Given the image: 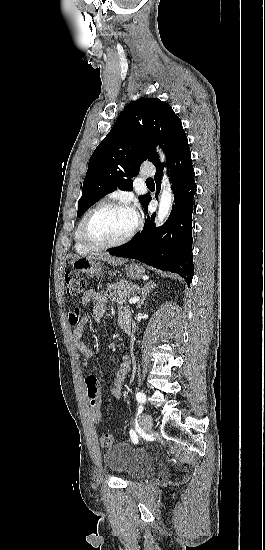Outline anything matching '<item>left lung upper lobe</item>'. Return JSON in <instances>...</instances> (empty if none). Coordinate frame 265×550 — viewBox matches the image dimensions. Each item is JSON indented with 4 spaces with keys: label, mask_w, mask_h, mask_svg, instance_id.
Returning <instances> with one entry per match:
<instances>
[{
    "label": "left lung upper lobe",
    "mask_w": 265,
    "mask_h": 550,
    "mask_svg": "<svg viewBox=\"0 0 265 550\" xmlns=\"http://www.w3.org/2000/svg\"><path fill=\"white\" fill-rule=\"evenodd\" d=\"M186 141L181 120L169 104L158 98L128 104L90 157L77 216L116 188L131 191L132 180L125 178L137 175L144 161L162 167L155 145L165 151L168 161ZM139 199L145 208L151 197L145 194Z\"/></svg>",
    "instance_id": "5c2ea615"
}]
</instances>
